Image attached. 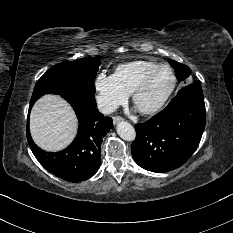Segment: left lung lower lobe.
Wrapping results in <instances>:
<instances>
[{
  "label": "left lung lower lobe",
  "mask_w": 233,
  "mask_h": 233,
  "mask_svg": "<svg viewBox=\"0 0 233 233\" xmlns=\"http://www.w3.org/2000/svg\"><path fill=\"white\" fill-rule=\"evenodd\" d=\"M205 128V104L199 84H190L168 106L136 125L131 152L142 168L164 173L183 165L197 148Z\"/></svg>",
  "instance_id": "left-lung-lower-lobe-1"
}]
</instances>
